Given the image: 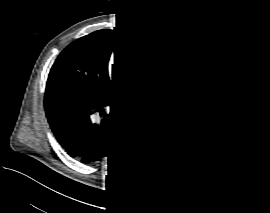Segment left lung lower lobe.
<instances>
[{
	"label": "left lung lower lobe",
	"mask_w": 270,
	"mask_h": 213,
	"mask_svg": "<svg viewBox=\"0 0 270 213\" xmlns=\"http://www.w3.org/2000/svg\"><path fill=\"white\" fill-rule=\"evenodd\" d=\"M226 118L223 107L175 101L159 113L151 128L152 137L167 160L185 163L215 147Z\"/></svg>",
	"instance_id": "left-lung-lower-lobe-1"
}]
</instances>
